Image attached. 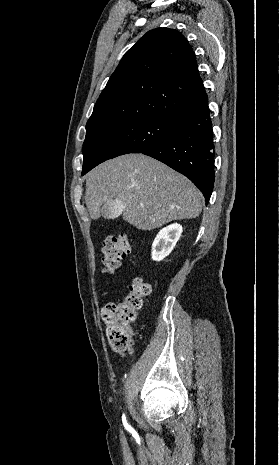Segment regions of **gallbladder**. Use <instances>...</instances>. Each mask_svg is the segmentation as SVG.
<instances>
[{
    "instance_id": "1",
    "label": "gallbladder",
    "mask_w": 279,
    "mask_h": 465,
    "mask_svg": "<svg viewBox=\"0 0 279 465\" xmlns=\"http://www.w3.org/2000/svg\"><path fill=\"white\" fill-rule=\"evenodd\" d=\"M122 202L113 199L103 205L101 212L105 219H116L121 215Z\"/></svg>"
}]
</instances>
